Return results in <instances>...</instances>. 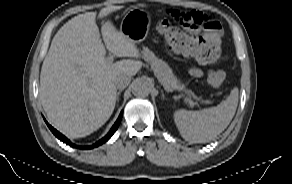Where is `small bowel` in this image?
<instances>
[{
	"label": "small bowel",
	"instance_id": "small-bowel-1",
	"mask_svg": "<svg viewBox=\"0 0 292 184\" xmlns=\"http://www.w3.org/2000/svg\"><path fill=\"white\" fill-rule=\"evenodd\" d=\"M215 24H216L215 28H204L201 31V34L205 40L212 42L216 46H220L222 38V29L221 25L217 21H215ZM190 73L198 77L202 75V71L196 67H192L190 69Z\"/></svg>",
	"mask_w": 292,
	"mask_h": 184
}]
</instances>
